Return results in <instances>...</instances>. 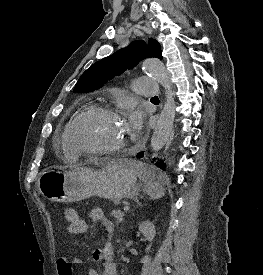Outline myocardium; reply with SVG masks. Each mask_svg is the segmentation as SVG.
Segmentation results:
<instances>
[{"label": "myocardium", "instance_id": "myocardium-1", "mask_svg": "<svg viewBox=\"0 0 263 275\" xmlns=\"http://www.w3.org/2000/svg\"><path fill=\"white\" fill-rule=\"evenodd\" d=\"M98 114H105V115H109L114 118L122 120L120 113L117 110H115L114 108L107 106V105L91 106L87 110L82 112L74 120V122L70 128L69 135H68V141L76 154L88 155V156L113 155V154L123 152L128 147V145H129L128 140L122 141L118 145H116L114 147L106 148V149H89V148H84L78 144V142L76 140V134H77V131H78L80 125L86 119H88L94 115H98Z\"/></svg>", "mask_w": 263, "mask_h": 275}]
</instances>
